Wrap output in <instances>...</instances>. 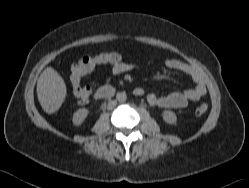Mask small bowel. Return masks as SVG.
<instances>
[{"label":"small bowel","instance_id":"1","mask_svg":"<svg viewBox=\"0 0 249 188\" xmlns=\"http://www.w3.org/2000/svg\"><path fill=\"white\" fill-rule=\"evenodd\" d=\"M111 64L113 75L121 74L131 68L128 63L121 61V59ZM165 65L170 70L178 71L189 76L194 82V87L186 89L182 92H174L165 96H159L153 92H146L143 88H137L141 91L140 95L146 96V99L151 106L183 109L187 107L189 102H196L206 95L207 88L205 82L194 67L178 59H168L165 62ZM137 89H135V94Z\"/></svg>","mask_w":249,"mask_h":188}]
</instances>
